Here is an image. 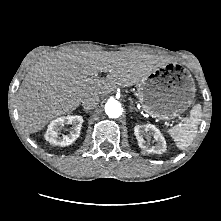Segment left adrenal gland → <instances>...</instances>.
I'll list each match as a JSON object with an SVG mask.
<instances>
[{
  "mask_svg": "<svg viewBox=\"0 0 221 221\" xmlns=\"http://www.w3.org/2000/svg\"><path fill=\"white\" fill-rule=\"evenodd\" d=\"M130 111L132 112L133 109L137 110L134 106H133V101L132 99H130Z\"/></svg>",
  "mask_w": 221,
  "mask_h": 221,
  "instance_id": "obj_1",
  "label": "left adrenal gland"
}]
</instances>
